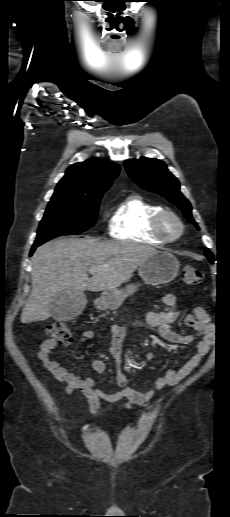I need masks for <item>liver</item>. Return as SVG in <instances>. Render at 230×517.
<instances>
[{"label": "liver", "instance_id": "liver-1", "mask_svg": "<svg viewBox=\"0 0 230 517\" xmlns=\"http://www.w3.org/2000/svg\"><path fill=\"white\" fill-rule=\"evenodd\" d=\"M156 252L151 246L95 238H61L43 244L32 257V291L21 322L51 317L50 302L58 292L116 289ZM90 267L97 268L91 278Z\"/></svg>", "mask_w": 230, "mask_h": 517}]
</instances>
